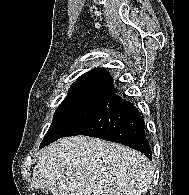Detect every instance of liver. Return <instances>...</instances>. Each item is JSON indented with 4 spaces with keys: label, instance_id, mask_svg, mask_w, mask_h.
I'll list each match as a JSON object with an SVG mask.
<instances>
[{
    "label": "liver",
    "instance_id": "liver-1",
    "mask_svg": "<svg viewBox=\"0 0 189 195\" xmlns=\"http://www.w3.org/2000/svg\"><path fill=\"white\" fill-rule=\"evenodd\" d=\"M153 167L140 152L87 136L66 137L42 152L32 185L53 195H141Z\"/></svg>",
    "mask_w": 189,
    "mask_h": 195
}]
</instances>
